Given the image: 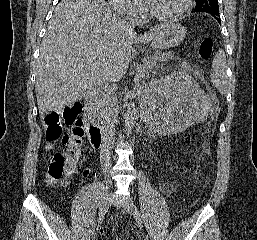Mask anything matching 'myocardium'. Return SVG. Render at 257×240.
Masks as SVG:
<instances>
[{
    "label": "myocardium",
    "instance_id": "obj_1",
    "mask_svg": "<svg viewBox=\"0 0 257 240\" xmlns=\"http://www.w3.org/2000/svg\"><path fill=\"white\" fill-rule=\"evenodd\" d=\"M192 0H183L182 7L175 13L167 15V16H160L155 14L150 6L148 5L147 0H145V7L150 19L156 22H173L181 19L191 8Z\"/></svg>",
    "mask_w": 257,
    "mask_h": 240
}]
</instances>
